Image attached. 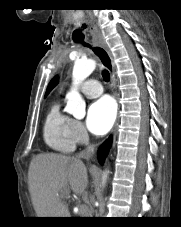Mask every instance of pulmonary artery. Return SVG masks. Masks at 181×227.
<instances>
[{
  "mask_svg": "<svg viewBox=\"0 0 181 227\" xmlns=\"http://www.w3.org/2000/svg\"><path fill=\"white\" fill-rule=\"evenodd\" d=\"M81 91L88 98H96L103 93V88L99 81L89 79L81 85Z\"/></svg>",
  "mask_w": 181,
  "mask_h": 227,
  "instance_id": "obj_1",
  "label": "pulmonary artery"
}]
</instances>
